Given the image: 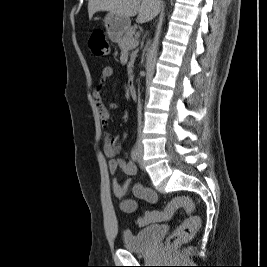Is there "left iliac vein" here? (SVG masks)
<instances>
[{
  "label": "left iliac vein",
  "mask_w": 267,
  "mask_h": 267,
  "mask_svg": "<svg viewBox=\"0 0 267 267\" xmlns=\"http://www.w3.org/2000/svg\"><path fill=\"white\" fill-rule=\"evenodd\" d=\"M139 165L143 169V160H142V152L139 153Z\"/></svg>",
  "instance_id": "1"
}]
</instances>
